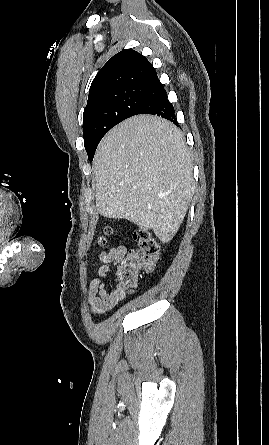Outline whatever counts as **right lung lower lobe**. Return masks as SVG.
<instances>
[{
    "label": "right lung lower lobe",
    "mask_w": 269,
    "mask_h": 445,
    "mask_svg": "<svg viewBox=\"0 0 269 445\" xmlns=\"http://www.w3.org/2000/svg\"><path fill=\"white\" fill-rule=\"evenodd\" d=\"M156 88L158 90V96L144 105L137 114L158 115L172 121L174 124H177V119L175 118L174 114V108L167 99L164 87L160 83Z\"/></svg>",
    "instance_id": "1"
}]
</instances>
